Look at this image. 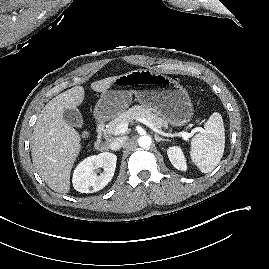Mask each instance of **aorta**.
<instances>
[{
    "instance_id": "762f6f07",
    "label": "aorta",
    "mask_w": 269,
    "mask_h": 269,
    "mask_svg": "<svg viewBox=\"0 0 269 269\" xmlns=\"http://www.w3.org/2000/svg\"><path fill=\"white\" fill-rule=\"evenodd\" d=\"M138 144L142 148H149L152 144V139L148 135H143L138 139Z\"/></svg>"
}]
</instances>
